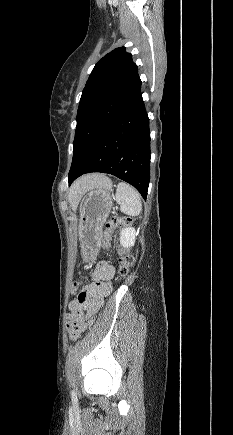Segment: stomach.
<instances>
[{"label":"stomach","instance_id":"stomach-1","mask_svg":"<svg viewBox=\"0 0 233 435\" xmlns=\"http://www.w3.org/2000/svg\"><path fill=\"white\" fill-rule=\"evenodd\" d=\"M111 189L112 182L107 178L105 184L86 192L80 201L78 235L85 262L92 261L99 251L102 226L112 207Z\"/></svg>","mask_w":233,"mask_h":435}]
</instances>
